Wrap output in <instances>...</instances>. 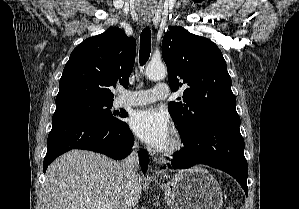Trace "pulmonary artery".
Listing matches in <instances>:
<instances>
[{"mask_svg":"<svg viewBox=\"0 0 299 209\" xmlns=\"http://www.w3.org/2000/svg\"><path fill=\"white\" fill-rule=\"evenodd\" d=\"M169 95V88L166 83H157L152 89L124 91L119 100L120 106H139L153 103L166 98Z\"/></svg>","mask_w":299,"mask_h":209,"instance_id":"obj_1","label":"pulmonary artery"}]
</instances>
